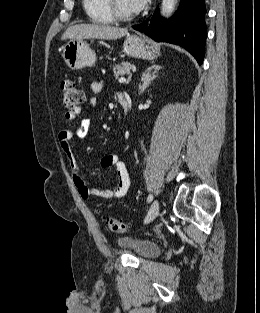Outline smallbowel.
<instances>
[{
	"mask_svg": "<svg viewBox=\"0 0 260 313\" xmlns=\"http://www.w3.org/2000/svg\"><path fill=\"white\" fill-rule=\"evenodd\" d=\"M94 93H99L102 90V83L95 82L92 85ZM124 96V95H120ZM125 97V96H124ZM90 103L94 105L96 103L95 98L90 99ZM81 113V109L77 108L73 111H67L64 118L67 122L74 121ZM92 126V120L90 118L83 119L78 127L63 129L58 133V144L62 152L64 153L67 162L72 170L73 181L79 195L88 200L91 197L104 198V199H119L123 197L130 185V175L128 164L121 160L120 155L117 153L106 154L101 158L100 164L103 168H113L116 171V181L113 187L110 189H100L96 187H89L83 180L80 174L79 163L72 151L70 142L73 137L85 136Z\"/></svg>",
	"mask_w": 260,
	"mask_h": 313,
	"instance_id": "c3829d8e",
	"label": "small bowel"
}]
</instances>
